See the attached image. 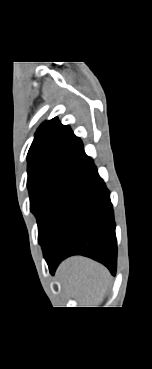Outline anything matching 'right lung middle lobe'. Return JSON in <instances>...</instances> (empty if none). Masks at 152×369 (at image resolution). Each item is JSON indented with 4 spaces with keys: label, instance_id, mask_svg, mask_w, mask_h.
Returning <instances> with one entry per match:
<instances>
[{
    "label": "right lung middle lobe",
    "instance_id": "1",
    "mask_svg": "<svg viewBox=\"0 0 152 369\" xmlns=\"http://www.w3.org/2000/svg\"><path fill=\"white\" fill-rule=\"evenodd\" d=\"M80 166L79 164H58L28 172L30 209L37 218L40 244L47 235L60 198Z\"/></svg>",
    "mask_w": 152,
    "mask_h": 369
}]
</instances>
